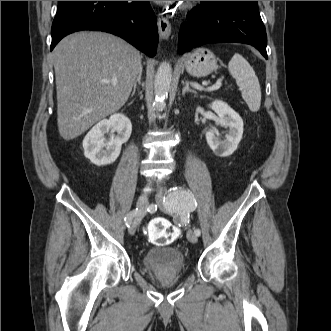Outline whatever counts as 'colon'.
Listing matches in <instances>:
<instances>
[{
  "mask_svg": "<svg viewBox=\"0 0 331 331\" xmlns=\"http://www.w3.org/2000/svg\"><path fill=\"white\" fill-rule=\"evenodd\" d=\"M150 242L158 246L170 244L179 236V229L165 218L152 219L146 228Z\"/></svg>",
  "mask_w": 331,
  "mask_h": 331,
  "instance_id": "5ec220e1",
  "label": "colon"
}]
</instances>
